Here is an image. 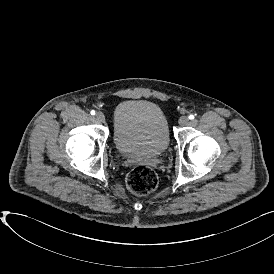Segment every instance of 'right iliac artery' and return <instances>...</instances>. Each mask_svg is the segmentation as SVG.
Here are the masks:
<instances>
[{
  "label": "right iliac artery",
  "mask_w": 274,
  "mask_h": 274,
  "mask_svg": "<svg viewBox=\"0 0 274 274\" xmlns=\"http://www.w3.org/2000/svg\"><path fill=\"white\" fill-rule=\"evenodd\" d=\"M90 113H91V115H95L96 114V112L94 110H92Z\"/></svg>",
  "instance_id": "obj_1"
}]
</instances>
